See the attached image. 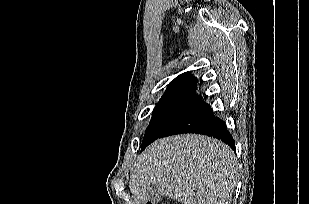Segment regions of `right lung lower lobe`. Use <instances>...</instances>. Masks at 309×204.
Segmentation results:
<instances>
[{"mask_svg":"<svg viewBox=\"0 0 309 204\" xmlns=\"http://www.w3.org/2000/svg\"><path fill=\"white\" fill-rule=\"evenodd\" d=\"M181 133H196L214 137L235 150V142L227 130L225 122L215 117L210 105L205 102L186 113L158 138Z\"/></svg>","mask_w":309,"mask_h":204,"instance_id":"98d812e1","label":"right lung lower lobe"}]
</instances>
